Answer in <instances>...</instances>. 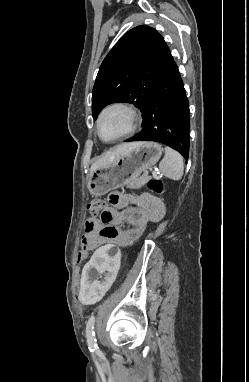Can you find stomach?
Here are the masks:
<instances>
[{
    "label": "stomach",
    "instance_id": "obj_1",
    "mask_svg": "<svg viewBox=\"0 0 249 382\" xmlns=\"http://www.w3.org/2000/svg\"><path fill=\"white\" fill-rule=\"evenodd\" d=\"M162 147L156 142H139L136 147L118 157L108 166L95 170L88 181L89 192L94 196L122 187L130 178L154 166L160 159Z\"/></svg>",
    "mask_w": 249,
    "mask_h": 382
}]
</instances>
